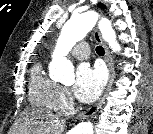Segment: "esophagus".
Here are the masks:
<instances>
[{
    "label": "esophagus",
    "mask_w": 153,
    "mask_h": 134,
    "mask_svg": "<svg viewBox=\"0 0 153 134\" xmlns=\"http://www.w3.org/2000/svg\"><path fill=\"white\" fill-rule=\"evenodd\" d=\"M94 37H95V40L103 46L104 51H105V61L107 63L108 70H109V82H108L107 89H106L107 91L112 84V80L115 74L113 60H112V57L110 55L107 45L103 41L101 34L97 29L94 31ZM103 100H104V96L94 106L90 107L86 112L80 115V117L93 116L100 109Z\"/></svg>",
    "instance_id": "1"
}]
</instances>
